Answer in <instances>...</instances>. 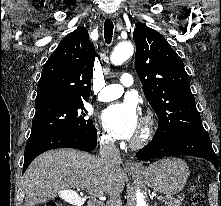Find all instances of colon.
Segmentation results:
<instances>
[{"mask_svg":"<svg viewBox=\"0 0 221 206\" xmlns=\"http://www.w3.org/2000/svg\"><path fill=\"white\" fill-rule=\"evenodd\" d=\"M192 201H193V206H205L206 203L204 195L196 190H193L192 192ZM44 206H59V205L54 201H48L45 203Z\"/></svg>","mask_w":221,"mask_h":206,"instance_id":"colon-1","label":"colon"}]
</instances>
